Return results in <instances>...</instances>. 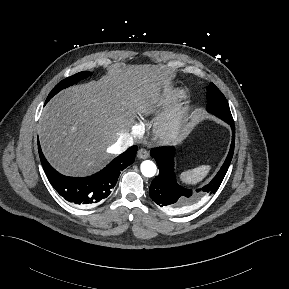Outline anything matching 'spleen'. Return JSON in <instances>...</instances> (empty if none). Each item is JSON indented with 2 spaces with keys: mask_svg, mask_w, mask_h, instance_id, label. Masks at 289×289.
I'll list each match as a JSON object with an SVG mask.
<instances>
[{
  "mask_svg": "<svg viewBox=\"0 0 289 289\" xmlns=\"http://www.w3.org/2000/svg\"><path fill=\"white\" fill-rule=\"evenodd\" d=\"M211 166L209 165H201L197 168L187 170L180 175V179L183 183L186 184H196L208 174Z\"/></svg>",
  "mask_w": 289,
  "mask_h": 289,
  "instance_id": "3e777b00",
  "label": "spleen"
}]
</instances>
